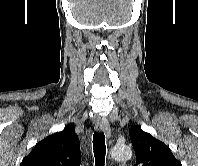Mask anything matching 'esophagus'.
Here are the masks:
<instances>
[{"instance_id":"34e87169","label":"esophagus","mask_w":198,"mask_h":166,"mask_svg":"<svg viewBox=\"0 0 198 166\" xmlns=\"http://www.w3.org/2000/svg\"><path fill=\"white\" fill-rule=\"evenodd\" d=\"M95 129L98 132H105L107 138H110V136H111L110 126H109V123L105 119L98 120L95 125Z\"/></svg>"}]
</instances>
